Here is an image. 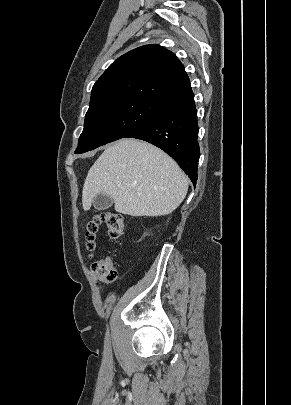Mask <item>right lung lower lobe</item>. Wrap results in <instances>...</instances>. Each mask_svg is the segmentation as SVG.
<instances>
[{"instance_id":"98d812e1","label":"right lung lower lobe","mask_w":291,"mask_h":405,"mask_svg":"<svg viewBox=\"0 0 291 405\" xmlns=\"http://www.w3.org/2000/svg\"><path fill=\"white\" fill-rule=\"evenodd\" d=\"M197 137V110L189 89L168 101L151 120L125 138L141 139L161 148L195 182L200 157Z\"/></svg>"}]
</instances>
